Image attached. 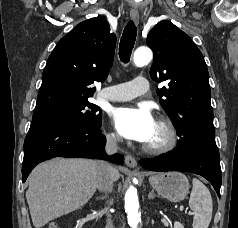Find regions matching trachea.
<instances>
[{
	"label": "trachea",
	"instance_id": "trachea-1",
	"mask_svg": "<svg viewBox=\"0 0 238 228\" xmlns=\"http://www.w3.org/2000/svg\"><path fill=\"white\" fill-rule=\"evenodd\" d=\"M136 35H137L136 26L131 21L125 27L120 41L119 57L121 61L124 63L129 62L131 52L135 44Z\"/></svg>",
	"mask_w": 238,
	"mask_h": 228
}]
</instances>
